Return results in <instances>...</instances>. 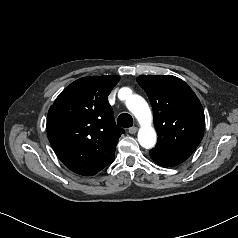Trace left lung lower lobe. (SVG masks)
<instances>
[{"label": "left lung lower lobe", "instance_id": "left-lung-lower-lobe-1", "mask_svg": "<svg viewBox=\"0 0 238 238\" xmlns=\"http://www.w3.org/2000/svg\"><path fill=\"white\" fill-rule=\"evenodd\" d=\"M150 156L154 160V162L163 167L178 165L188 158L187 156L171 154L157 148H153L150 151Z\"/></svg>", "mask_w": 238, "mask_h": 238}]
</instances>
